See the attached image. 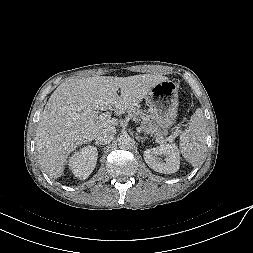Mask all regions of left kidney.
<instances>
[{
  "label": "left kidney",
  "instance_id": "5707ae66",
  "mask_svg": "<svg viewBox=\"0 0 253 253\" xmlns=\"http://www.w3.org/2000/svg\"><path fill=\"white\" fill-rule=\"evenodd\" d=\"M143 156L146 164L156 172L171 174L179 169L180 155L175 144H161L147 149ZM160 156H165L164 161Z\"/></svg>",
  "mask_w": 253,
  "mask_h": 253
}]
</instances>
